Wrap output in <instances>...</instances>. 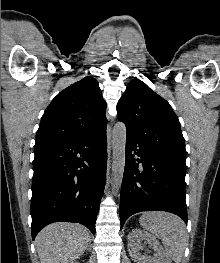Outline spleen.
Returning a JSON list of instances; mask_svg holds the SVG:
<instances>
[{
    "label": "spleen",
    "instance_id": "1",
    "mask_svg": "<svg viewBox=\"0 0 220 263\" xmlns=\"http://www.w3.org/2000/svg\"><path fill=\"white\" fill-rule=\"evenodd\" d=\"M141 226L162 241L166 255L180 263L188 236L184 222L167 212H146L140 218Z\"/></svg>",
    "mask_w": 220,
    "mask_h": 263
}]
</instances>
